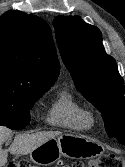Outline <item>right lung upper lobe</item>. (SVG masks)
<instances>
[{
	"mask_svg": "<svg viewBox=\"0 0 125 167\" xmlns=\"http://www.w3.org/2000/svg\"><path fill=\"white\" fill-rule=\"evenodd\" d=\"M59 74L51 29L36 15L7 11L0 17V89H49Z\"/></svg>",
	"mask_w": 125,
	"mask_h": 167,
	"instance_id": "right-lung-upper-lobe-1",
	"label": "right lung upper lobe"
}]
</instances>
